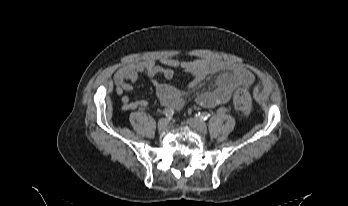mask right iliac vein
Wrapping results in <instances>:
<instances>
[{"label": "right iliac vein", "mask_w": 348, "mask_h": 206, "mask_svg": "<svg viewBox=\"0 0 348 206\" xmlns=\"http://www.w3.org/2000/svg\"><path fill=\"white\" fill-rule=\"evenodd\" d=\"M157 126L159 130H165L168 126V120L166 118L160 119Z\"/></svg>", "instance_id": "63e3f726"}]
</instances>
